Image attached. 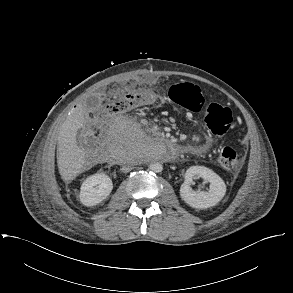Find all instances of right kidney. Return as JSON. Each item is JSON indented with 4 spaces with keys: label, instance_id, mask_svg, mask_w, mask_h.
<instances>
[{
    "label": "right kidney",
    "instance_id": "ca27d5eb",
    "mask_svg": "<svg viewBox=\"0 0 293 293\" xmlns=\"http://www.w3.org/2000/svg\"><path fill=\"white\" fill-rule=\"evenodd\" d=\"M113 189L112 180L105 173H96L86 178L80 188V202L87 206H95L105 200Z\"/></svg>",
    "mask_w": 293,
    "mask_h": 293
}]
</instances>
